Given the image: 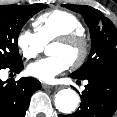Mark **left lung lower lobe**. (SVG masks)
<instances>
[{
  "label": "left lung lower lobe",
  "mask_w": 117,
  "mask_h": 117,
  "mask_svg": "<svg viewBox=\"0 0 117 117\" xmlns=\"http://www.w3.org/2000/svg\"><path fill=\"white\" fill-rule=\"evenodd\" d=\"M70 77L77 79L71 74ZM85 79L89 83L82 92L80 109L59 117H112L117 109V64L98 70Z\"/></svg>",
  "instance_id": "0a47b994"
}]
</instances>
